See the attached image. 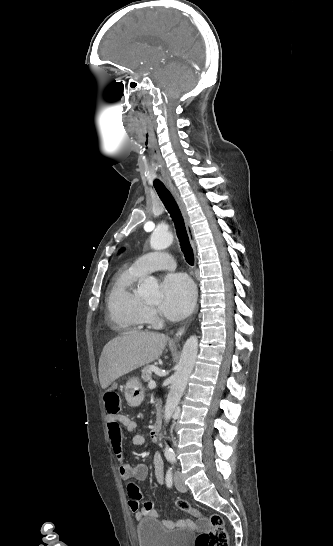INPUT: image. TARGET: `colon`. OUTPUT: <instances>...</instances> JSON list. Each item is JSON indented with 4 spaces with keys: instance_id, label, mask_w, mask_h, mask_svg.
<instances>
[{
    "instance_id": "obj_1",
    "label": "colon",
    "mask_w": 333,
    "mask_h": 546,
    "mask_svg": "<svg viewBox=\"0 0 333 546\" xmlns=\"http://www.w3.org/2000/svg\"><path fill=\"white\" fill-rule=\"evenodd\" d=\"M104 400L108 414L113 417L118 415L121 407L119 394L117 392H108L105 395ZM176 506L184 512L192 511L191 505L184 500L177 501ZM194 546H228V537L224 527V521L220 515L212 514L209 517L208 529L196 537Z\"/></svg>"
}]
</instances>
